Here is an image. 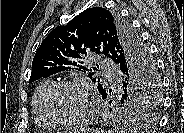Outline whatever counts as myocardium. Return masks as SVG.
Returning a JSON list of instances; mask_svg holds the SVG:
<instances>
[{
	"instance_id": "obj_1",
	"label": "myocardium",
	"mask_w": 184,
	"mask_h": 133,
	"mask_svg": "<svg viewBox=\"0 0 184 133\" xmlns=\"http://www.w3.org/2000/svg\"><path fill=\"white\" fill-rule=\"evenodd\" d=\"M60 87H72L78 89L81 94L83 95L84 99V109L83 111L76 117L71 119H60L55 117L50 109H49V99L51 94ZM42 110L46 118L54 125L60 126H76L84 123L92 113V105L90 99V92L87 86L77 80H60L53 82L45 91L43 98H42Z\"/></svg>"
}]
</instances>
